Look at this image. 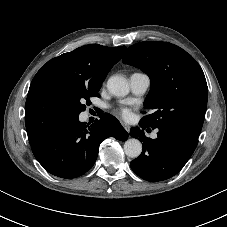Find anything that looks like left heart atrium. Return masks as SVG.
<instances>
[{"instance_id":"obj_1","label":"left heart atrium","mask_w":227,"mask_h":227,"mask_svg":"<svg viewBox=\"0 0 227 227\" xmlns=\"http://www.w3.org/2000/svg\"><path fill=\"white\" fill-rule=\"evenodd\" d=\"M118 113L123 117V118H130L131 116V109L128 107H121L118 109Z\"/></svg>"}]
</instances>
